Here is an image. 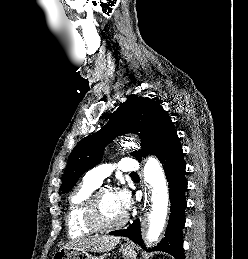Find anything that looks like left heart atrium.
<instances>
[{
	"mask_svg": "<svg viewBox=\"0 0 248 259\" xmlns=\"http://www.w3.org/2000/svg\"><path fill=\"white\" fill-rule=\"evenodd\" d=\"M116 200L122 210L126 213V211L130 207V196L127 191L119 190L115 192Z\"/></svg>",
	"mask_w": 248,
	"mask_h": 259,
	"instance_id": "39dd6f15",
	"label": "left heart atrium"
}]
</instances>
